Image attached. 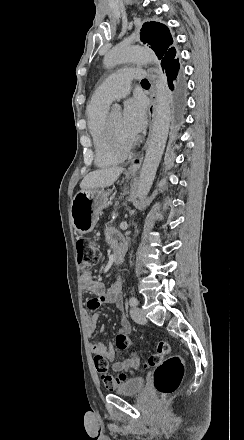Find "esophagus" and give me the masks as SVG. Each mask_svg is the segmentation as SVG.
Returning a JSON list of instances; mask_svg holds the SVG:
<instances>
[{"mask_svg":"<svg viewBox=\"0 0 244 440\" xmlns=\"http://www.w3.org/2000/svg\"><path fill=\"white\" fill-rule=\"evenodd\" d=\"M155 108H156V99H155V95L151 96V101H150V105L148 107V114H149V131H148V137L146 139V142L144 144V147L142 149L141 154L138 157V164H131L130 167L128 168L129 173L131 174H136L139 170L140 167V163L143 160V152L144 150L147 148L151 135H152V129H153V124H154V117H155Z\"/></svg>","mask_w":244,"mask_h":440,"instance_id":"esophagus-1","label":"esophagus"}]
</instances>
